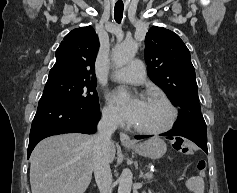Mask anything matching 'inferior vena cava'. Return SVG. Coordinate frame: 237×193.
Returning a JSON list of instances; mask_svg holds the SVG:
<instances>
[{"instance_id":"inferior-vena-cava-1","label":"inferior vena cava","mask_w":237,"mask_h":193,"mask_svg":"<svg viewBox=\"0 0 237 193\" xmlns=\"http://www.w3.org/2000/svg\"><path fill=\"white\" fill-rule=\"evenodd\" d=\"M119 117L113 112H103L93 136V170L100 193H111L110 170L111 135L117 129Z\"/></svg>"}]
</instances>
